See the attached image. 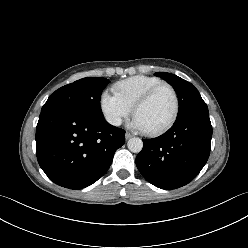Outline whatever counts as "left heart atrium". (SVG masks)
I'll return each mask as SVG.
<instances>
[{
	"label": "left heart atrium",
	"mask_w": 248,
	"mask_h": 248,
	"mask_svg": "<svg viewBox=\"0 0 248 248\" xmlns=\"http://www.w3.org/2000/svg\"><path fill=\"white\" fill-rule=\"evenodd\" d=\"M132 126L138 130H144L142 125L140 124V122L136 118L133 119Z\"/></svg>",
	"instance_id": "1"
}]
</instances>
